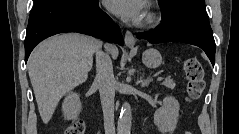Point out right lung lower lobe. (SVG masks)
I'll return each instance as SVG.
<instances>
[{
	"instance_id": "1",
	"label": "right lung lower lobe",
	"mask_w": 239,
	"mask_h": 134,
	"mask_svg": "<svg viewBox=\"0 0 239 134\" xmlns=\"http://www.w3.org/2000/svg\"><path fill=\"white\" fill-rule=\"evenodd\" d=\"M99 0H45L29 15L25 38V61L45 38L79 32L123 45L120 28L99 8Z\"/></svg>"
}]
</instances>
